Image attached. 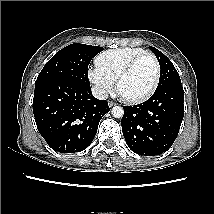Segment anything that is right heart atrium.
Masks as SVG:
<instances>
[{
    "instance_id": "obj_1",
    "label": "right heart atrium",
    "mask_w": 214,
    "mask_h": 214,
    "mask_svg": "<svg viewBox=\"0 0 214 214\" xmlns=\"http://www.w3.org/2000/svg\"><path fill=\"white\" fill-rule=\"evenodd\" d=\"M88 78L101 94L112 91L115 86V81L97 67L89 69Z\"/></svg>"
}]
</instances>
